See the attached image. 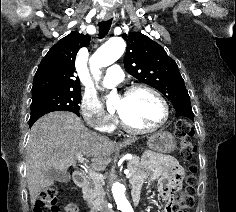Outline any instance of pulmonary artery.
<instances>
[{"mask_svg":"<svg viewBox=\"0 0 236 212\" xmlns=\"http://www.w3.org/2000/svg\"><path fill=\"white\" fill-rule=\"evenodd\" d=\"M123 80V71L118 65H111L106 71V77L102 82V86L106 88L113 87Z\"/></svg>","mask_w":236,"mask_h":212,"instance_id":"e3ab8cb5","label":"pulmonary artery"}]
</instances>
